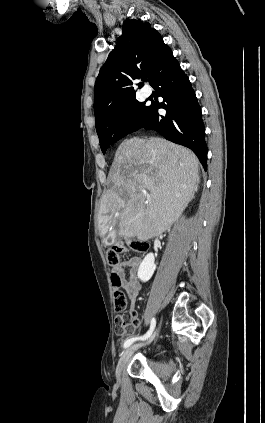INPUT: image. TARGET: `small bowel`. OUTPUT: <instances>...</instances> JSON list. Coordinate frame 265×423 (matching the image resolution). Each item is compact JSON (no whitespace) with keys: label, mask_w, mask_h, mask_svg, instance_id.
<instances>
[{"label":"small bowel","mask_w":265,"mask_h":423,"mask_svg":"<svg viewBox=\"0 0 265 423\" xmlns=\"http://www.w3.org/2000/svg\"><path fill=\"white\" fill-rule=\"evenodd\" d=\"M141 259L139 257H131L130 259L124 260L115 267H113V273L121 281V286L125 290L128 298L131 301L130 308L134 311L136 297L141 290V282L138 279V270L140 267ZM137 329V320L134 321L133 330L124 335L129 336L134 334Z\"/></svg>","instance_id":"obj_1"}]
</instances>
